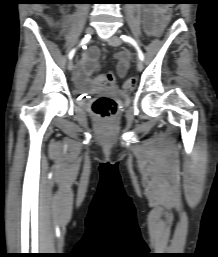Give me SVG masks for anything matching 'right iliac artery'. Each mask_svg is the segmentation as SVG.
<instances>
[{"mask_svg":"<svg viewBox=\"0 0 218 257\" xmlns=\"http://www.w3.org/2000/svg\"><path fill=\"white\" fill-rule=\"evenodd\" d=\"M89 40H90V35H86V36L82 39L80 45H84V44L88 43ZM75 50H76V49H73V50L69 53V59H70V60L73 58L74 53H75Z\"/></svg>","mask_w":218,"mask_h":257,"instance_id":"obj_1","label":"right iliac artery"}]
</instances>
